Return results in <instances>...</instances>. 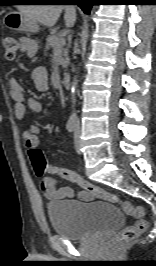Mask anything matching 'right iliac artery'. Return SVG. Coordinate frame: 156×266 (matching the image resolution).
Masks as SVG:
<instances>
[{
    "instance_id": "1",
    "label": "right iliac artery",
    "mask_w": 156,
    "mask_h": 266,
    "mask_svg": "<svg viewBox=\"0 0 156 266\" xmlns=\"http://www.w3.org/2000/svg\"><path fill=\"white\" fill-rule=\"evenodd\" d=\"M66 128H67V130L69 132L75 131V128H76V117H75V115L70 116V118H69V120L67 122Z\"/></svg>"
}]
</instances>
